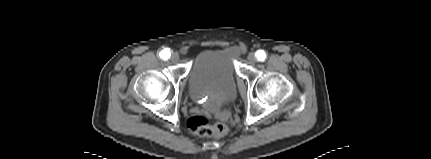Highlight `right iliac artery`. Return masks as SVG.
I'll list each match as a JSON object with an SVG mask.
<instances>
[{
	"label": "right iliac artery",
	"instance_id": "82829eb1",
	"mask_svg": "<svg viewBox=\"0 0 431 159\" xmlns=\"http://www.w3.org/2000/svg\"><path fill=\"white\" fill-rule=\"evenodd\" d=\"M171 55L170 49L166 48L164 50H162L159 53V56L163 59V60H167Z\"/></svg>",
	"mask_w": 431,
	"mask_h": 159
}]
</instances>
